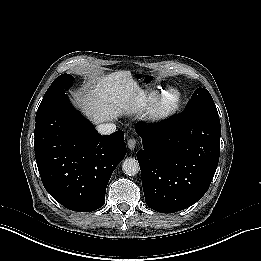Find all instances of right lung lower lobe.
Masks as SVG:
<instances>
[{
  "mask_svg": "<svg viewBox=\"0 0 261 261\" xmlns=\"http://www.w3.org/2000/svg\"><path fill=\"white\" fill-rule=\"evenodd\" d=\"M34 149L47 192L78 212L105 204L109 179L126 154L124 133L101 136L66 94L36 116Z\"/></svg>",
  "mask_w": 261,
  "mask_h": 261,
  "instance_id": "98d812e1",
  "label": "right lung lower lobe"
}]
</instances>
